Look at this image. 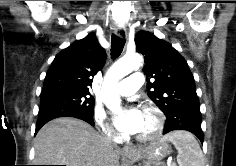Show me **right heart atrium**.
Wrapping results in <instances>:
<instances>
[{
  "label": "right heart atrium",
  "mask_w": 236,
  "mask_h": 166,
  "mask_svg": "<svg viewBox=\"0 0 236 166\" xmlns=\"http://www.w3.org/2000/svg\"><path fill=\"white\" fill-rule=\"evenodd\" d=\"M93 119L95 121V124L97 125V127L99 128V130L102 132L103 135H105L106 137L112 140L118 139L116 133L114 132L112 127L109 125L106 114L103 109L95 108L93 112Z\"/></svg>",
  "instance_id": "obj_1"
}]
</instances>
